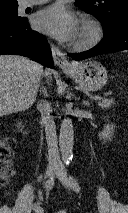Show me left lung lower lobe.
<instances>
[{
    "mask_svg": "<svg viewBox=\"0 0 128 213\" xmlns=\"http://www.w3.org/2000/svg\"><path fill=\"white\" fill-rule=\"evenodd\" d=\"M122 50H128V20L106 29L104 31V38L92 49L82 53L68 55L74 60H83L99 54Z\"/></svg>",
    "mask_w": 128,
    "mask_h": 213,
    "instance_id": "1",
    "label": "left lung lower lobe"
}]
</instances>
